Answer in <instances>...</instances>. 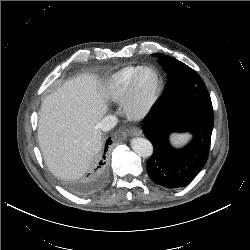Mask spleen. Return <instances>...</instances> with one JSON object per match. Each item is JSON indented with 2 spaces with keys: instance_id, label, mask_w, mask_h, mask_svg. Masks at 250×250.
Instances as JSON below:
<instances>
[{
  "instance_id": "obj_1",
  "label": "spleen",
  "mask_w": 250,
  "mask_h": 250,
  "mask_svg": "<svg viewBox=\"0 0 250 250\" xmlns=\"http://www.w3.org/2000/svg\"><path fill=\"white\" fill-rule=\"evenodd\" d=\"M188 138H189L188 135H174L173 141L175 144H180V143L187 141Z\"/></svg>"
}]
</instances>
